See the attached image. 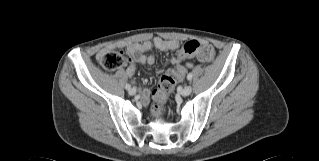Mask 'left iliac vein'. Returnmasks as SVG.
<instances>
[{"label":"left iliac vein","instance_id":"left-iliac-vein-1","mask_svg":"<svg viewBox=\"0 0 319 161\" xmlns=\"http://www.w3.org/2000/svg\"><path fill=\"white\" fill-rule=\"evenodd\" d=\"M192 92V87L190 85L185 86L182 91H181V95L182 96H189Z\"/></svg>","mask_w":319,"mask_h":161}]
</instances>
